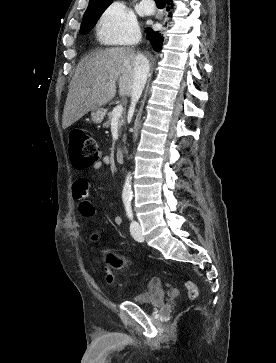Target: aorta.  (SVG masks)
Segmentation results:
<instances>
[{
    "instance_id": "762f6f07",
    "label": "aorta",
    "mask_w": 276,
    "mask_h": 363,
    "mask_svg": "<svg viewBox=\"0 0 276 363\" xmlns=\"http://www.w3.org/2000/svg\"><path fill=\"white\" fill-rule=\"evenodd\" d=\"M131 180H132L131 173H128L122 192L123 200H130L132 197Z\"/></svg>"
}]
</instances>
